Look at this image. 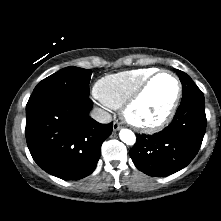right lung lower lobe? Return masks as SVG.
Instances as JSON below:
<instances>
[{
  "label": "right lung lower lobe",
  "mask_w": 221,
  "mask_h": 221,
  "mask_svg": "<svg viewBox=\"0 0 221 221\" xmlns=\"http://www.w3.org/2000/svg\"><path fill=\"white\" fill-rule=\"evenodd\" d=\"M92 106L84 94L55 95L26 106V141L39 167L65 180L94 171L113 124L92 119Z\"/></svg>",
  "instance_id": "98d812e1"
}]
</instances>
